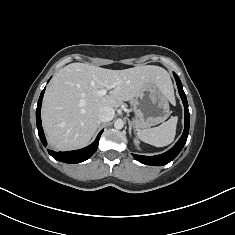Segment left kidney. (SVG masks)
I'll return each instance as SVG.
<instances>
[{
  "label": "left kidney",
  "instance_id": "obj_1",
  "mask_svg": "<svg viewBox=\"0 0 235 235\" xmlns=\"http://www.w3.org/2000/svg\"><path fill=\"white\" fill-rule=\"evenodd\" d=\"M134 144H135V146H136L138 149H140V148H139V141H138L137 139H134Z\"/></svg>",
  "mask_w": 235,
  "mask_h": 235
}]
</instances>
